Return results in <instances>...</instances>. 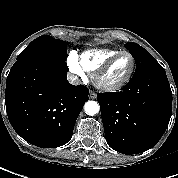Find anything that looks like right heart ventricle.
I'll return each instance as SVG.
<instances>
[{"label":"right heart ventricle","mask_w":178,"mask_h":178,"mask_svg":"<svg viewBox=\"0 0 178 178\" xmlns=\"http://www.w3.org/2000/svg\"><path fill=\"white\" fill-rule=\"evenodd\" d=\"M118 52L116 49H91L81 53L78 60L83 69L94 73L107 59Z\"/></svg>","instance_id":"obj_1"}]
</instances>
